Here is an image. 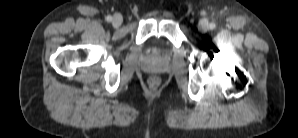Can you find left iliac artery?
Returning <instances> with one entry per match:
<instances>
[{
    "instance_id": "obj_1",
    "label": "left iliac artery",
    "mask_w": 298,
    "mask_h": 138,
    "mask_svg": "<svg viewBox=\"0 0 298 138\" xmlns=\"http://www.w3.org/2000/svg\"><path fill=\"white\" fill-rule=\"evenodd\" d=\"M216 28V24L215 23H210L209 24V29L210 30H214Z\"/></svg>"
}]
</instances>
